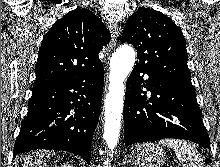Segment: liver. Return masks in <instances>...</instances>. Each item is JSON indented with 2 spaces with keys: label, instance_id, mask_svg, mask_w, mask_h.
I'll list each match as a JSON object with an SVG mask.
<instances>
[{
  "label": "liver",
  "instance_id": "6515ba94",
  "mask_svg": "<svg viewBox=\"0 0 220 167\" xmlns=\"http://www.w3.org/2000/svg\"><path fill=\"white\" fill-rule=\"evenodd\" d=\"M50 155L46 150L29 152L18 156L14 167H45Z\"/></svg>",
  "mask_w": 220,
  "mask_h": 167
}]
</instances>
